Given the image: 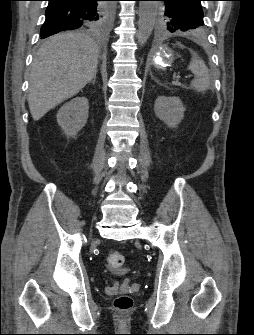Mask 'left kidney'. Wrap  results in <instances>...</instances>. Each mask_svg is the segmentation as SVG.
Instances as JSON below:
<instances>
[{
  "mask_svg": "<svg viewBox=\"0 0 254 335\" xmlns=\"http://www.w3.org/2000/svg\"><path fill=\"white\" fill-rule=\"evenodd\" d=\"M154 111L168 127L175 128L184 117L185 107L179 97L159 96L155 101Z\"/></svg>",
  "mask_w": 254,
  "mask_h": 335,
  "instance_id": "1",
  "label": "left kidney"
}]
</instances>
